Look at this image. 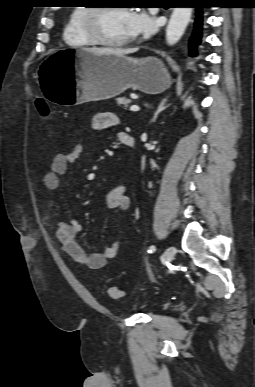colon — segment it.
Masks as SVG:
<instances>
[{"label": "colon", "mask_w": 255, "mask_h": 387, "mask_svg": "<svg viewBox=\"0 0 255 387\" xmlns=\"http://www.w3.org/2000/svg\"><path fill=\"white\" fill-rule=\"evenodd\" d=\"M35 104H36V107H37L39 114L42 117L49 116V113H50L49 106L43 99H37ZM106 293L110 298L118 299L121 297L122 292H121V289L117 286H108L106 288Z\"/></svg>", "instance_id": "obj_1"}]
</instances>
